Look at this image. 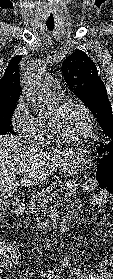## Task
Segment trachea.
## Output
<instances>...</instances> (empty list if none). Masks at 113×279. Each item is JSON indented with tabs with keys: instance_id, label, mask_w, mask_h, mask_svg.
<instances>
[{
	"instance_id": "obj_1",
	"label": "trachea",
	"mask_w": 113,
	"mask_h": 279,
	"mask_svg": "<svg viewBox=\"0 0 113 279\" xmlns=\"http://www.w3.org/2000/svg\"><path fill=\"white\" fill-rule=\"evenodd\" d=\"M47 28H48V30H49V31H53V29H54V26H51V25H47Z\"/></svg>"
}]
</instances>
